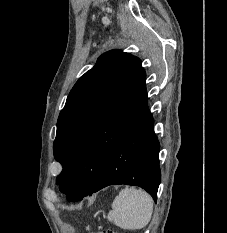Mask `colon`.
<instances>
[{
	"mask_svg": "<svg viewBox=\"0 0 227 233\" xmlns=\"http://www.w3.org/2000/svg\"><path fill=\"white\" fill-rule=\"evenodd\" d=\"M95 233H118V232L112 229H108V230L98 231Z\"/></svg>",
	"mask_w": 227,
	"mask_h": 233,
	"instance_id": "colon-1",
	"label": "colon"
}]
</instances>
